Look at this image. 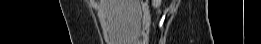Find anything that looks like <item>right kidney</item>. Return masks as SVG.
Segmentation results:
<instances>
[{
    "mask_svg": "<svg viewBox=\"0 0 261 44\" xmlns=\"http://www.w3.org/2000/svg\"><path fill=\"white\" fill-rule=\"evenodd\" d=\"M153 7L158 9V12H160L159 7L161 5V0H153Z\"/></svg>",
    "mask_w": 261,
    "mask_h": 44,
    "instance_id": "right-kidney-1",
    "label": "right kidney"
}]
</instances>
